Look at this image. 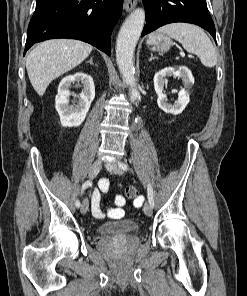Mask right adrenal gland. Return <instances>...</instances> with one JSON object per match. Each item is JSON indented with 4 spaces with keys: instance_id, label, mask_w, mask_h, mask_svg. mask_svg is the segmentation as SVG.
Wrapping results in <instances>:
<instances>
[{
    "instance_id": "2a0ac1e0",
    "label": "right adrenal gland",
    "mask_w": 247,
    "mask_h": 296,
    "mask_svg": "<svg viewBox=\"0 0 247 296\" xmlns=\"http://www.w3.org/2000/svg\"><path fill=\"white\" fill-rule=\"evenodd\" d=\"M88 63H90L91 65H94L93 61H92V58L88 61Z\"/></svg>"
}]
</instances>
